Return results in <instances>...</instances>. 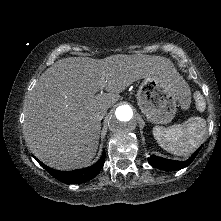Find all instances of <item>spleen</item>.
Instances as JSON below:
<instances>
[{"label": "spleen", "instance_id": "1", "mask_svg": "<svg viewBox=\"0 0 221 221\" xmlns=\"http://www.w3.org/2000/svg\"><path fill=\"white\" fill-rule=\"evenodd\" d=\"M197 109L203 112L206 108L204 97L200 92L194 94ZM206 132V121L201 117H191L183 124L168 128L155 126L154 138L167 152L186 156L193 152L201 143Z\"/></svg>", "mask_w": 221, "mask_h": 221}]
</instances>
